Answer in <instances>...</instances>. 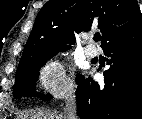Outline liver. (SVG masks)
Wrapping results in <instances>:
<instances>
[{"mask_svg":"<svg viewBox=\"0 0 142 119\" xmlns=\"http://www.w3.org/2000/svg\"><path fill=\"white\" fill-rule=\"evenodd\" d=\"M24 117H28V115ZM31 119H65V118L62 115H58L56 113L38 111L32 114Z\"/></svg>","mask_w":142,"mask_h":119,"instance_id":"6515ba94","label":"liver"}]
</instances>
